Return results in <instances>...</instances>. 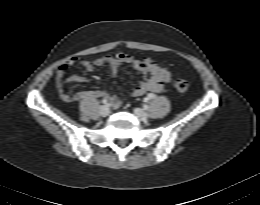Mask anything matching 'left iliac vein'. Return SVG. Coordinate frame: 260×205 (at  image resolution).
Masks as SVG:
<instances>
[{
	"instance_id": "left-iliac-vein-1",
	"label": "left iliac vein",
	"mask_w": 260,
	"mask_h": 205,
	"mask_svg": "<svg viewBox=\"0 0 260 205\" xmlns=\"http://www.w3.org/2000/svg\"><path fill=\"white\" fill-rule=\"evenodd\" d=\"M134 113L141 121H147L148 114L143 109L135 108Z\"/></svg>"
}]
</instances>
